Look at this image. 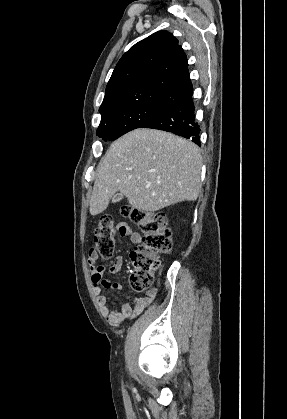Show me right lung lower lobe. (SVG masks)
<instances>
[{
  "label": "right lung lower lobe",
  "instance_id": "98d812e1",
  "mask_svg": "<svg viewBox=\"0 0 287 419\" xmlns=\"http://www.w3.org/2000/svg\"><path fill=\"white\" fill-rule=\"evenodd\" d=\"M192 93L168 103L161 111L143 123L140 128H153L190 138L200 145V128L195 121Z\"/></svg>",
  "mask_w": 287,
  "mask_h": 419
}]
</instances>
